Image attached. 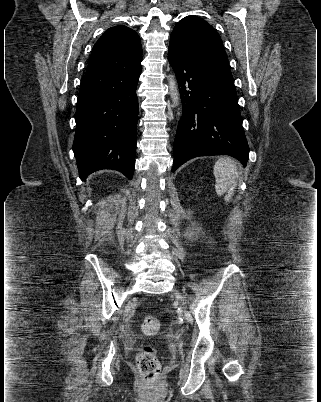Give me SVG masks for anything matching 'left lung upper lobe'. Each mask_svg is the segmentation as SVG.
Here are the masks:
<instances>
[{
	"label": "left lung upper lobe",
	"instance_id": "5c2ea615",
	"mask_svg": "<svg viewBox=\"0 0 321 402\" xmlns=\"http://www.w3.org/2000/svg\"><path fill=\"white\" fill-rule=\"evenodd\" d=\"M169 48L189 60L230 69L221 37L202 18L187 16L181 19L173 29Z\"/></svg>",
	"mask_w": 321,
	"mask_h": 402
}]
</instances>
